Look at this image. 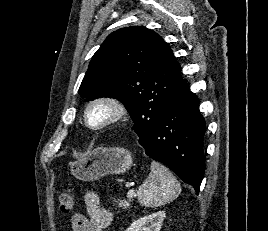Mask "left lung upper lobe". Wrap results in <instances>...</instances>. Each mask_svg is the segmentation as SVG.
<instances>
[{
	"mask_svg": "<svg viewBox=\"0 0 268 231\" xmlns=\"http://www.w3.org/2000/svg\"><path fill=\"white\" fill-rule=\"evenodd\" d=\"M186 83L169 45L154 31L132 26L111 33L90 61L79 94L112 97L127 108L138 136L156 124Z\"/></svg>",
	"mask_w": 268,
	"mask_h": 231,
	"instance_id": "5c2ea615",
	"label": "left lung upper lobe"
}]
</instances>
